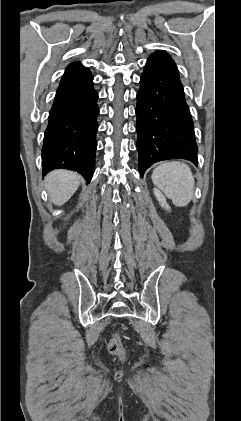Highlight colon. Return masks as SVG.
I'll list each match as a JSON object with an SVG mask.
<instances>
[{
  "instance_id": "5ec220e1",
  "label": "colon",
  "mask_w": 241,
  "mask_h": 421,
  "mask_svg": "<svg viewBox=\"0 0 241 421\" xmlns=\"http://www.w3.org/2000/svg\"><path fill=\"white\" fill-rule=\"evenodd\" d=\"M108 350L112 355L123 356V346L121 344V340L118 333H114L113 337L111 338L108 345Z\"/></svg>"
}]
</instances>
